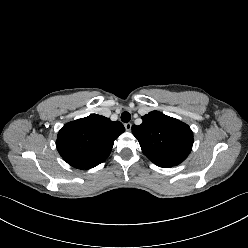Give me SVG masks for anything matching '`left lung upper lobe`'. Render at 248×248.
Returning <instances> with one entry per match:
<instances>
[{
  "instance_id": "5c2ea615",
  "label": "left lung upper lobe",
  "mask_w": 248,
  "mask_h": 248,
  "mask_svg": "<svg viewBox=\"0 0 248 248\" xmlns=\"http://www.w3.org/2000/svg\"><path fill=\"white\" fill-rule=\"evenodd\" d=\"M142 124L132 126L143 153L157 166L173 167L183 162L193 145L190 127L159 111L142 117Z\"/></svg>"
}]
</instances>
